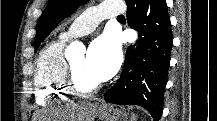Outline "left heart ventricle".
Returning a JSON list of instances; mask_svg holds the SVG:
<instances>
[{
    "label": "left heart ventricle",
    "mask_w": 217,
    "mask_h": 121,
    "mask_svg": "<svg viewBox=\"0 0 217 121\" xmlns=\"http://www.w3.org/2000/svg\"><path fill=\"white\" fill-rule=\"evenodd\" d=\"M79 83L84 87H90L99 83L90 73L86 65L85 55L76 57L70 61Z\"/></svg>",
    "instance_id": "obj_1"
}]
</instances>
